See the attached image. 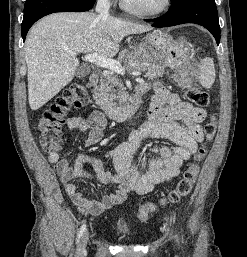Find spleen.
<instances>
[{"mask_svg": "<svg viewBox=\"0 0 247 257\" xmlns=\"http://www.w3.org/2000/svg\"><path fill=\"white\" fill-rule=\"evenodd\" d=\"M199 81L204 88H211L215 81V67L211 58H205L200 62Z\"/></svg>", "mask_w": 247, "mask_h": 257, "instance_id": "obj_1", "label": "spleen"}]
</instances>
